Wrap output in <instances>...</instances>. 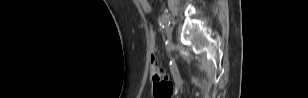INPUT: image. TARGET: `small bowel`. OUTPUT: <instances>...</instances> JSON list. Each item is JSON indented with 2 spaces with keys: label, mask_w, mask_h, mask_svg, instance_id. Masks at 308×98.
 <instances>
[{
  "label": "small bowel",
  "mask_w": 308,
  "mask_h": 98,
  "mask_svg": "<svg viewBox=\"0 0 308 98\" xmlns=\"http://www.w3.org/2000/svg\"><path fill=\"white\" fill-rule=\"evenodd\" d=\"M139 4H140L142 10L145 13H150L151 12L152 6H151V1L150 0H139Z\"/></svg>",
  "instance_id": "obj_1"
}]
</instances>
